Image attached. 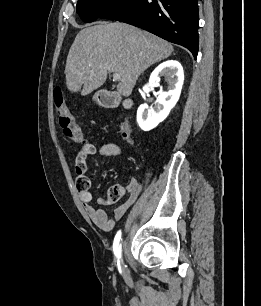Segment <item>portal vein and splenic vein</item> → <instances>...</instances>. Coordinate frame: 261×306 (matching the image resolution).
<instances>
[{
	"label": "portal vein and splenic vein",
	"mask_w": 261,
	"mask_h": 306,
	"mask_svg": "<svg viewBox=\"0 0 261 306\" xmlns=\"http://www.w3.org/2000/svg\"><path fill=\"white\" fill-rule=\"evenodd\" d=\"M120 79H121L120 74H118V73L113 74V81H119Z\"/></svg>",
	"instance_id": "1"
}]
</instances>
